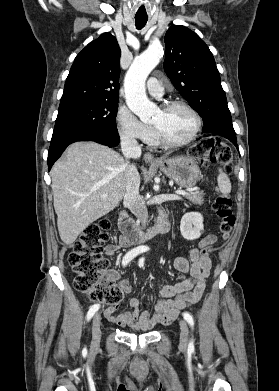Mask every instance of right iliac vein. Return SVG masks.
I'll list each match as a JSON object with an SVG mask.
<instances>
[{
	"instance_id": "1",
	"label": "right iliac vein",
	"mask_w": 279,
	"mask_h": 391,
	"mask_svg": "<svg viewBox=\"0 0 279 391\" xmlns=\"http://www.w3.org/2000/svg\"><path fill=\"white\" fill-rule=\"evenodd\" d=\"M101 317L99 314H96L92 321V343L97 345L101 337Z\"/></svg>"
}]
</instances>
